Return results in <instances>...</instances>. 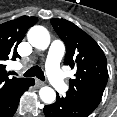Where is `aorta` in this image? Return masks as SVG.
I'll return each mask as SVG.
<instances>
[{"mask_svg":"<svg viewBox=\"0 0 117 117\" xmlns=\"http://www.w3.org/2000/svg\"><path fill=\"white\" fill-rule=\"evenodd\" d=\"M29 43L40 50H45L50 43V34L43 26H33L27 33ZM40 99L46 104H52L56 99L55 91L48 86L39 90Z\"/></svg>","mask_w":117,"mask_h":117,"instance_id":"1","label":"aorta"}]
</instances>
